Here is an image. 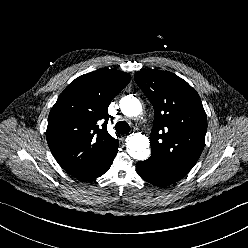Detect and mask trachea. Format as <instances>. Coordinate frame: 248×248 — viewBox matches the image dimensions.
<instances>
[{
    "label": "trachea",
    "mask_w": 248,
    "mask_h": 248,
    "mask_svg": "<svg viewBox=\"0 0 248 248\" xmlns=\"http://www.w3.org/2000/svg\"><path fill=\"white\" fill-rule=\"evenodd\" d=\"M131 130L130 126L128 123L124 121H120L115 125V131L117 134H126L129 133Z\"/></svg>",
    "instance_id": "trachea-1"
}]
</instances>
